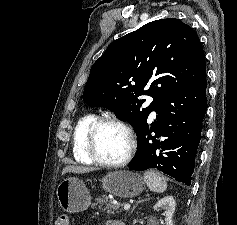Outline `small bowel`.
<instances>
[{
  "mask_svg": "<svg viewBox=\"0 0 237 225\" xmlns=\"http://www.w3.org/2000/svg\"><path fill=\"white\" fill-rule=\"evenodd\" d=\"M108 225H124V224L120 221L114 220V221H111Z\"/></svg>",
  "mask_w": 237,
  "mask_h": 225,
  "instance_id": "c3829d8e",
  "label": "small bowel"
}]
</instances>
